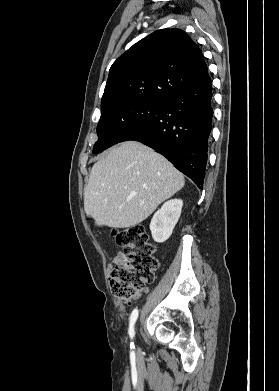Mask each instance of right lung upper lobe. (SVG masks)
Masks as SVG:
<instances>
[{
    "label": "right lung upper lobe",
    "instance_id": "obj_1",
    "mask_svg": "<svg viewBox=\"0 0 279 391\" xmlns=\"http://www.w3.org/2000/svg\"><path fill=\"white\" fill-rule=\"evenodd\" d=\"M206 74L200 48L184 31L157 30L113 63L101 113L139 101L165 102Z\"/></svg>",
    "mask_w": 279,
    "mask_h": 391
}]
</instances>
